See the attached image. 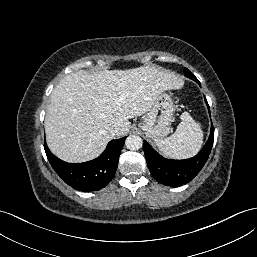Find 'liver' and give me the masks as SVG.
Here are the masks:
<instances>
[{
    "mask_svg": "<svg viewBox=\"0 0 257 257\" xmlns=\"http://www.w3.org/2000/svg\"><path fill=\"white\" fill-rule=\"evenodd\" d=\"M182 84L173 72L155 66L73 72L51 93L45 117L48 147L66 162L91 160L113 138L110 128L124 136L129 119L146 113L161 92Z\"/></svg>",
    "mask_w": 257,
    "mask_h": 257,
    "instance_id": "6515ba94",
    "label": "liver"
}]
</instances>
